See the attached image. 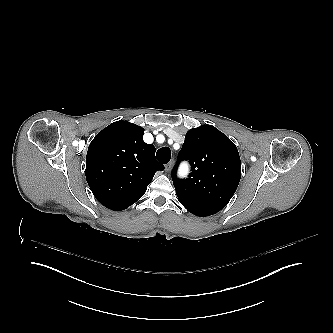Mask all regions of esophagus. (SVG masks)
Here are the masks:
<instances>
[{"label": "esophagus", "instance_id": "34e87169", "mask_svg": "<svg viewBox=\"0 0 333 333\" xmlns=\"http://www.w3.org/2000/svg\"><path fill=\"white\" fill-rule=\"evenodd\" d=\"M172 166H173V161H170V162L166 165L165 170H166V171H170L171 168H172Z\"/></svg>", "mask_w": 333, "mask_h": 333}]
</instances>
